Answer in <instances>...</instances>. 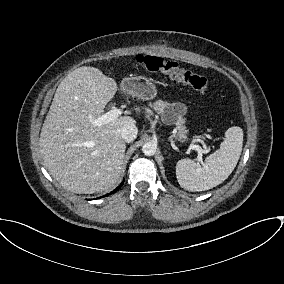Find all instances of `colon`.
I'll return each mask as SVG.
<instances>
[{"instance_id":"5ec220e1","label":"colon","mask_w":284,"mask_h":284,"mask_svg":"<svg viewBox=\"0 0 284 284\" xmlns=\"http://www.w3.org/2000/svg\"><path fill=\"white\" fill-rule=\"evenodd\" d=\"M136 61L146 70L162 72L172 80L189 86L199 93H205L207 90L208 82L204 76L182 68L174 61L152 55H138Z\"/></svg>"}]
</instances>
